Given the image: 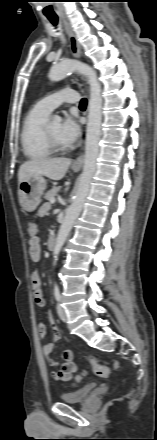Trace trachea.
Returning <instances> with one entry per match:
<instances>
[{
    "label": "trachea",
    "instance_id": "obj_1",
    "mask_svg": "<svg viewBox=\"0 0 157 440\" xmlns=\"http://www.w3.org/2000/svg\"><path fill=\"white\" fill-rule=\"evenodd\" d=\"M49 20H50V22H51L54 26H56L57 23H58V19H56V18H49ZM79 106H80V108H86V106H87V100H86L85 98H83V99L81 100Z\"/></svg>",
    "mask_w": 157,
    "mask_h": 440
}]
</instances>
